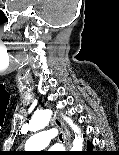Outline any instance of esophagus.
I'll return each instance as SVG.
<instances>
[{
    "mask_svg": "<svg viewBox=\"0 0 119 155\" xmlns=\"http://www.w3.org/2000/svg\"><path fill=\"white\" fill-rule=\"evenodd\" d=\"M51 122L53 125H55L58 129L61 130L63 134V140H64V146L66 151L70 150V132L64 125L62 121H60L55 115L52 116Z\"/></svg>",
    "mask_w": 119,
    "mask_h": 155,
    "instance_id": "obj_1",
    "label": "esophagus"
}]
</instances>
